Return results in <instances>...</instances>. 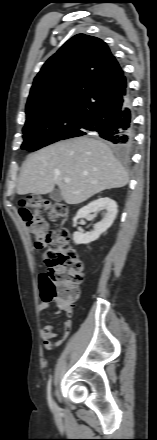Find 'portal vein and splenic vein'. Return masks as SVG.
Here are the masks:
<instances>
[{
    "instance_id": "obj_1",
    "label": "portal vein and splenic vein",
    "mask_w": 157,
    "mask_h": 440,
    "mask_svg": "<svg viewBox=\"0 0 157 440\" xmlns=\"http://www.w3.org/2000/svg\"><path fill=\"white\" fill-rule=\"evenodd\" d=\"M65 183H70V179H65Z\"/></svg>"
}]
</instances>
